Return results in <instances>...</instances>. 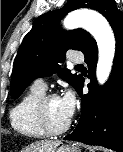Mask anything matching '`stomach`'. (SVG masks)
Listing matches in <instances>:
<instances>
[{"mask_svg":"<svg viewBox=\"0 0 123 152\" xmlns=\"http://www.w3.org/2000/svg\"><path fill=\"white\" fill-rule=\"evenodd\" d=\"M53 152H80V149L76 146H61L53 150Z\"/></svg>","mask_w":123,"mask_h":152,"instance_id":"obj_1","label":"stomach"}]
</instances>
